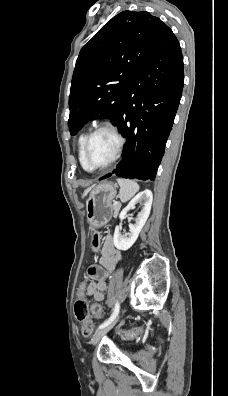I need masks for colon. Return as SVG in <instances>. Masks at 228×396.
<instances>
[{
    "instance_id": "5ec220e1",
    "label": "colon",
    "mask_w": 228,
    "mask_h": 396,
    "mask_svg": "<svg viewBox=\"0 0 228 396\" xmlns=\"http://www.w3.org/2000/svg\"><path fill=\"white\" fill-rule=\"evenodd\" d=\"M93 247L96 250L99 247V235L95 233L92 241ZM85 285L81 284L78 298L74 304V312L77 320L81 323L82 332L88 336L93 331V322L91 316L99 317L102 314V308L99 304L89 305L86 298L84 297ZM142 334V330L139 328L132 329L124 333L127 339H134Z\"/></svg>"
}]
</instances>
